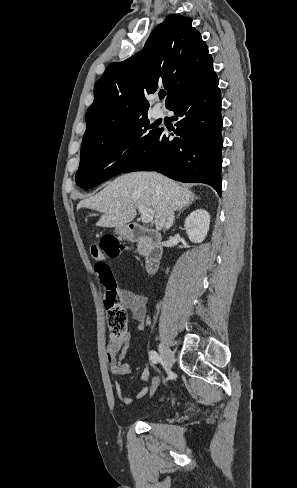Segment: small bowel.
<instances>
[{
  "instance_id": "c3829d8e",
  "label": "small bowel",
  "mask_w": 297,
  "mask_h": 488,
  "mask_svg": "<svg viewBox=\"0 0 297 488\" xmlns=\"http://www.w3.org/2000/svg\"><path fill=\"white\" fill-rule=\"evenodd\" d=\"M119 297L122 305L131 312L133 319L137 322L139 332L143 333L145 330V318L147 313V297L141 293H136L128 289H121L119 291ZM130 343L131 336L129 333H127L120 342V353H117V347H115L112 340L110 339L108 342L107 362L109 365V369L115 378L127 375L131 372V365L129 363L121 362V360L127 353ZM141 379L143 381H148L150 379V371L148 368H145L142 372ZM149 389H151V387H143L135 394L134 397H129L124 394L121 384L118 381H115V392L117 394V397L120 402L126 405H130L134 401L146 396Z\"/></svg>"
}]
</instances>
